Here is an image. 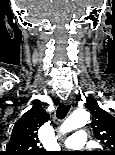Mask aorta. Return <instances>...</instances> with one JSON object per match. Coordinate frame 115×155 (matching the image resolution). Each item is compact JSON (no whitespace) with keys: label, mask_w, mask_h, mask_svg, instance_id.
<instances>
[{"label":"aorta","mask_w":115,"mask_h":155,"mask_svg":"<svg viewBox=\"0 0 115 155\" xmlns=\"http://www.w3.org/2000/svg\"><path fill=\"white\" fill-rule=\"evenodd\" d=\"M90 114L87 110L81 109L71 114L61 125L60 132L66 134L87 124Z\"/></svg>","instance_id":"762f6f07"}]
</instances>
